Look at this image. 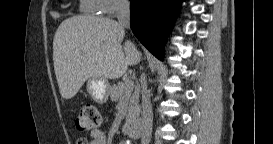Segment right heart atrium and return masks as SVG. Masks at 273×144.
Instances as JSON below:
<instances>
[{"instance_id":"obj_1","label":"right heart atrium","mask_w":273,"mask_h":144,"mask_svg":"<svg viewBox=\"0 0 273 144\" xmlns=\"http://www.w3.org/2000/svg\"><path fill=\"white\" fill-rule=\"evenodd\" d=\"M98 11L102 14L113 16L128 5L126 0H96Z\"/></svg>"}]
</instances>
